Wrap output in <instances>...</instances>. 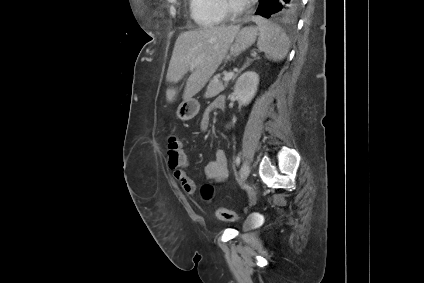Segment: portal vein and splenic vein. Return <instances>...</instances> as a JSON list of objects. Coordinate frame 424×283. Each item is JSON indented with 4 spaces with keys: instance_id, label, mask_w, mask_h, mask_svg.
Wrapping results in <instances>:
<instances>
[{
    "instance_id": "portal-vein-and-splenic-vein-1",
    "label": "portal vein and splenic vein",
    "mask_w": 424,
    "mask_h": 283,
    "mask_svg": "<svg viewBox=\"0 0 424 283\" xmlns=\"http://www.w3.org/2000/svg\"><path fill=\"white\" fill-rule=\"evenodd\" d=\"M234 76V72H230L227 75L224 76L223 81L224 82H228L229 80L232 79V77Z\"/></svg>"
}]
</instances>
